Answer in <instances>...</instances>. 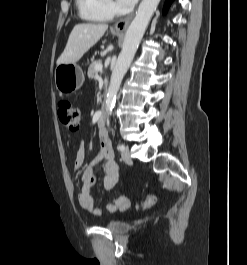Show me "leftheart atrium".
I'll use <instances>...</instances> for the list:
<instances>
[{
    "label": "left heart atrium",
    "mask_w": 247,
    "mask_h": 265,
    "mask_svg": "<svg viewBox=\"0 0 247 265\" xmlns=\"http://www.w3.org/2000/svg\"><path fill=\"white\" fill-rule=\"evenodd\" d=\"M136 0H118V3L123 7H129L133 5Z\"/></svg>",
    "instance_id": "39dd6f15"
}]
</instances>
